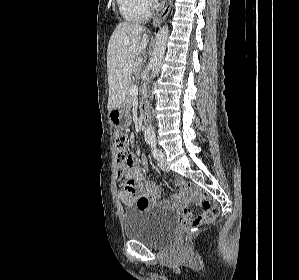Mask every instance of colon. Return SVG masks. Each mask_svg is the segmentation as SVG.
I'll list each match as a JSON object with an SVG mask.
<instances>
[{"label": "colon", "mask_w": 299, "mask_h": 280, "mask_svg": "<svg viewBox=\"0 0 299 280\" xmlns=\"http://www.w3.org/2000/svg\"><path fill=\"white\" fill-rule=\"evenodd\" d=\"M114 143L116 149V160L118 165V175L123 176L133 163V155L128 148V136L123 130L114 132ZM185 191L191 194L193 203L200 206L202 211L198 215H191L185 211L180 216V224L187 234L196 232L200 226L212 222L218 215L217 206L205 197L190 183H183Z\"/></svg>", "instance_id": "1"}]
</instances>
